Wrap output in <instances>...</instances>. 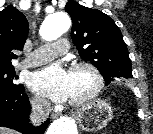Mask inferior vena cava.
Segmentation results:
<instances>
[{"label":"inferior vena cava","mask_w":153,"mask_h":134,"mask_svg":"<svg viewBox=\"0 0 153 134\" xmlns=\"http://www.w3.org/2000/svg\"><path fill=\"white\" fill-rule=\"evenodd\" d=\"M31 108V123L35 126H38L48 117L50 103L46 99L35 98L31 101Z\"/></svg>","instance_id":"inferior-vena-cava-1"}]
</instances>
